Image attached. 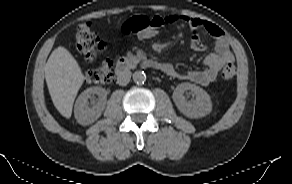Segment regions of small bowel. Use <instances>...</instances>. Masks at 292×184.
Here are the masks:
<instances>
[{
  "label": "small bowel",
  "mask_w": 292,
  "mask_h": 184,
  "mask_svg": "<svg viewBox=\"0 0 292 184\" xmlns=\"http://www.w3.org/2000/svg\"><path fill=\"white\" fill-rule=\"evenodd\" d=\"M154 17L160 22L161 26L179 21L187 24L193 30L190 45L191 48L195 51H204L207 49V46L202 42L198 34L199 30L206 31L215 39L214 52L209 53L204 58V68L197 70H188L185 73H179L173 66L167 64V74L181 79L189 80L199 85L206 86L216 79L219 70L224 64L232 63L234 61V56L232 51L230 50L225 34L222 29L219 28L217 25L202 20L200 18L189 16L169 15L165 17Z\"/></svg>",
  "instance_id": "c3829d8e"
}]
</instances>
